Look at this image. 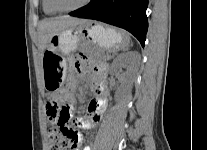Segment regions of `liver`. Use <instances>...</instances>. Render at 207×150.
<instances>
[{
  "mask_svg": "<svg viewBox=\"0 0 207 150\" xmlns=\"http://www.w3.org/2000/svg\"><path fill=\"white\" fill-rule=\"evenodd\" d=\"M86 22L89 21L69 16H59L42 20L38 26L39 49L44 51L48 47L49 41L54 34Z\"/></svg>",
  "mask_w": 207,
  "mask_h": 150,
  "instance_id": "liver-1",
  "label": "liver"
}]
</instances>
